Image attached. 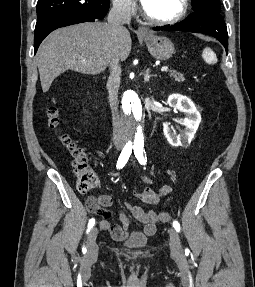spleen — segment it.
Here are the masks:
<instances>
[{"label": "spleen", "mask_w": 255, "mask_h": 287, "mask_svg": "<svg viewBox=\"0 0 255 287\" xmlns=\"http://www.w3.org/2000/svg\"><path fill=\"white\" fill-rule=\"evenodd\" d=\"M202 56L206 64H216L217 62L216 54H214L210 48H205V50H203Z\"/></svg>", "instance_id": "obj_1"}]
</instances>
